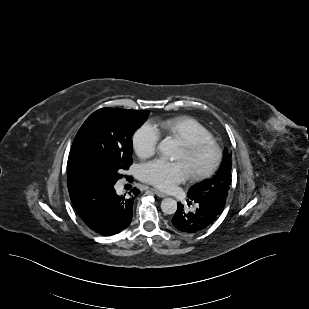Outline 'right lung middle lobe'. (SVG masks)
<instances>
[{"label": "right lung middle lobe", "mask_w": 309, "mask_h": 309, "mask_svg": "<svg viewBox=\"0 0 309 309\" xmlns=\"http://www.w3.org/2000/svg\"><path fill=\"white\" fill-rule=\"evenodd\" d=\"M149 111L103 108L90 115L74 138L67 171L115 184L132 164V135Z\"/></svg>", "instance_id": "1"}]
</instances>
